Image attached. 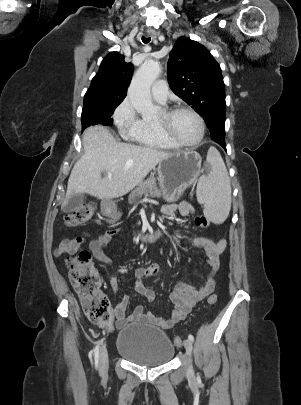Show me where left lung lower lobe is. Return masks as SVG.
<instances>
[{"instance_id":"obj_1","label":"left lung lower lobe","mask_w":301,"mask_h":405,"mask_svg":"<svg viewBox=\"0 0 301 405\" xmlns=\"http://www.w3.org/2000/svg\"><path fill=\"white\" fill-rule=\"evenodd\" d=\"M212 140L215 141L216 143L220 144L224 149H226L225 138L220 139V138L216 137V138H214Z\"/></svg>"}]
</instances>
